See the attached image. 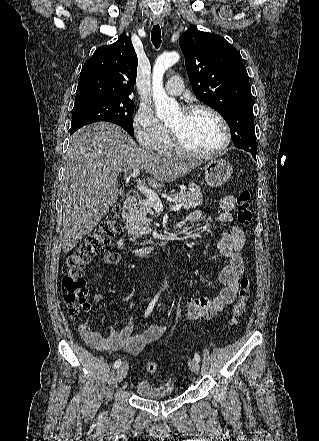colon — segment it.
<instances>
[{
	"label": "colon",
	"instance_id": "5ec220e1",
	"mask_svg": "<svg viewBox=\"0 0 319 441\" xmlns=\"http://www.w3.org/2000/svg\"><path fill=\"white\" fill-rule=\"evenodd\" d=\"M238 220L241 223H249L253 212L250 204V192L241 191L236 199ZM119 213L113 209L100 224L88 234L78 246L67 256L63 265L62 292L67 311L71 318L77 317L81 312L88 311V288L83 277L84 267L90 260L101 254L109 244L116 231ZM251 297V281L248 277L240 280L239 299L232 309L230 324L237 323V319L244 313ZM149 373L159 370V363L150 360L146 364Z\"/></svg>",
	"mask_w": 319,
	"mask_h": 441
}]
</instances>
